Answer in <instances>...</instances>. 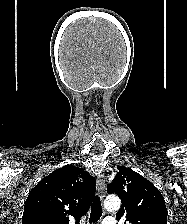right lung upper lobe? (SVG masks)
Wrapping results in <instances>:
<instances>
[{
	"label": "right lung upper lobe",
	"mask_w": 187,
	"mask_h": 224,
	"mask_svg": "<svg viewBox=\"0 0 187 224\" xmlns=\"http://www.w3.org/2000/svg\"><path fill=\"white\" fill-rule=\"evenodd\" d=\"M95 185L96 180L82 168L65 165L55 170L30 191L22 224H68L69 216L79 221L88 211Z\"/></svg>",
	"instance_id": "right-lung-upper-lobe-1"
}]
</instances>
